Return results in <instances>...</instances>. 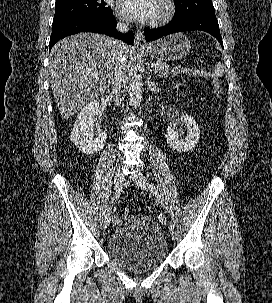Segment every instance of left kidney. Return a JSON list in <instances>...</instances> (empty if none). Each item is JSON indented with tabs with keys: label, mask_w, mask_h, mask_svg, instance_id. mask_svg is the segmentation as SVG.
I'll return each mask as SVG.
<instances>
[{
	"label": "left kidney",
	"mask_w": 272,
	"mask_h": 303,
	"mask_svg": "<svg viewBox=\"0 0 272 303\" xmlns=\"http://www.w3.org/2000/svg\"><path fill=\"white\" fill-rule=\"evenodd\" d=\"M183 122L188 129V133L184 139L179 138V133L176 130L175 124H170L168 126L165 135L167 143L173 148V150L180 153L192 150L200 138V129L192 116L186 114L183 116Z\"/></svg>",
	"instance_id": "1"
}]
</instances>
